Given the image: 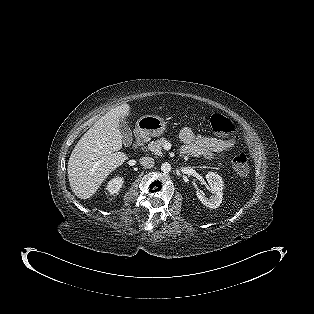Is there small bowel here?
<instances>
[{
  "instance_id": "small-bowel-1",
  "label": "small bowel",
  "mask_w": 314,
  "mask_h": 314,
  "mask_svg": "<svg viewBox=\"0 0 314 314\" xmlns=\"http://www.w3.org/2000/svg\"><path fill=\"white\" fill-rule=\"evenodd\" d=\"M179 137L184 143L182 148L183 154L195 157H205L208 159L223 157L236 145V141L232 138L220 139L216 137L202 136L195 134L188 127H183L180 130Z\"/></svg>"
}]
</instances>
